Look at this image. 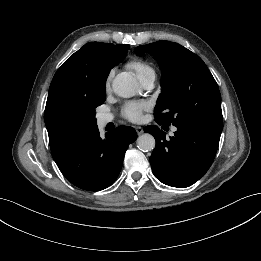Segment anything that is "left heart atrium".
I'll use <instances>...</instances> for the list:
<instances>
[{"label": "left heart atrium", "mask_w": 261, "mask_h": 261, "mask_svg": "<svg viewBox=\"0 0 261 261\" xmlns=\"http://www.w3.org/2000/svg\"><path fill=\"white\" fill-rule=\"evenodd\" d=\"M149 107L148 102L130 101L123 106L122 116L131 122H138L142 119L143 112Z\"/></svg>", "instance_id": "39dd6f15"}]
</instances>
